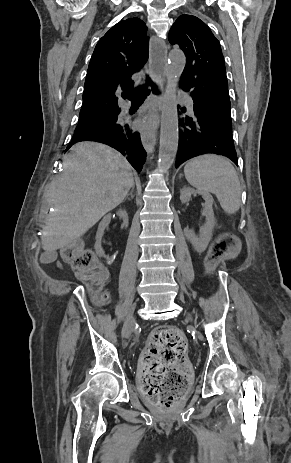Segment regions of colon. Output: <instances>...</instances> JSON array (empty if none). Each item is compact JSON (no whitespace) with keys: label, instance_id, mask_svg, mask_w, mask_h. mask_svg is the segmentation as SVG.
I'll return each instance as SVG.
<instances>
[{"label":"colon","instance_id":"obj_1","mask_svg":"<svg viewBox=\"0 0 291 463\" xmlns=\"http://www.w3.org/2000/svg\"><path fill=\"white\" fill-rule=\"evenodd\" d=\"M237 238L232 233L219 237L208 256L214 266L224 255L235 250ZM61 258L85 281L97 301L104 304L109 294L103 290L107 272L94 253L79 242L61 250ZM188 342L184 334L173 326L157 329L150 337L140 360L141 389L145 397L165 411L171 410L189 386V366L185 361Z\"/></svg>","mask_w":291,"mask_h":463}]
</instances>
